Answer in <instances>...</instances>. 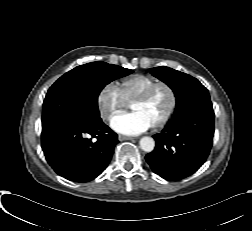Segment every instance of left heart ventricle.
<instances>
[{
    "label": "left heart ventricle",
    "mask_w": 252,
    "mask_h": 231,
    "mask_svg": "<svg viewBox=\"0 0 252 231\" xmlns=\"http://www.w3.org/2000/svg\"><path fill=\"white\" fill-rule=\"evenodd\" d=\"M170 96L166 88H158L147 102H133L131 109L142 113L152 125L158 122L166 113Z\"/></svg>",
    "instance_id": "obj_1"
}]
</instances>
